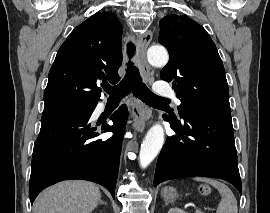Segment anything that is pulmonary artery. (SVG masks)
Masks as SVG:
<instances>
[{
	"instance_id": "e3ab8cb5",
	"label": "pulmonary artery",
	"mask_w": 270,
	"mask_h": 213,
	"mask_svg": "<svg viewBox=\"0 0 270 213\" xmlns=\"http://www.w3.org/2000/svg\"><path fill=\"white\" fill-rule=\"evenodd\" d=\"M155 94L158 96H173L175 102L179 105L181 101L178 97L174 95L171 85L165 81H159L155 84L154 87Z\"/></svg>"
}]
</instances>
